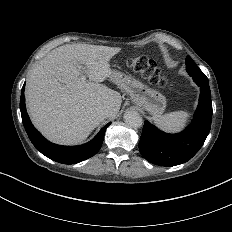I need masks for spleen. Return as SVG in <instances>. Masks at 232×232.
<instances>
[{
  "mask_svg": "<svg viewBox=\"0 0 232 232\" xmlns=\"http://www.w3.org/2000/svg\"><path fill=\"white\" fill-rule=\"evenodd\" d=\"M189 114L184 111H175L164 115L153 116L155 124L166 132H179L187 123Z\"/></svg>",
  "mask_w": 232,
  "mask_h": 232,
  "instance_id": "spleen-1",
  "label": "spleen"
}]
</instances>
